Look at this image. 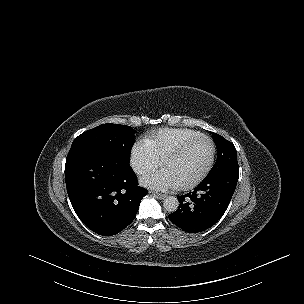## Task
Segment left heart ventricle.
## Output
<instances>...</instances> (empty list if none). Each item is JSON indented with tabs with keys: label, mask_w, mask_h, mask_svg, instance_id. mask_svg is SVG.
<instances>
[{
	"label": "left heart ventricle",
	"mask_w": 304,
	"mask_h": 304,
	"mask_svg": "<svg viewBox=\"0 0 304 304\" xmlns=\"http://www.w3.org/2000/svg\"><path fill=\"white\" fill-rule=\"evenodd\" d=\"M209 155L210 144L207 141L199 142L171 161L167 172L178 184L188 182L203 169Z\"/></svg>",
	"instance_id": "b2bd125f"
}]
</instances>
